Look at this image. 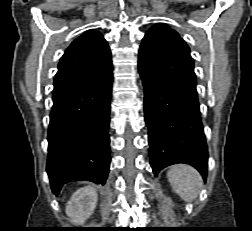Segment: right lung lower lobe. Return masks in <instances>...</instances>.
Listing matches in <instances>:
<instances>
[{
    "label": "right lung lower lobe",
    "mask_w": 252,
    "mask_h": 231,
    "mask_svg": "<svg viewBox=\"0 0 252 231\" xmlns=\"http://www.w3.org/2000/svg\"><path fill=\"white\" fill-rule=\"evenodd\" d=\"M112 82L111 72L53 99L47 173L55 195L71 180L105 184L110 166Z\"/></svg>",
    "instance_id": "right-lung-lower-lobe-1"
}]
</instances>
